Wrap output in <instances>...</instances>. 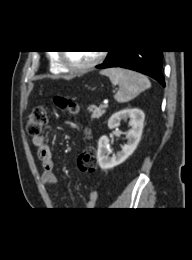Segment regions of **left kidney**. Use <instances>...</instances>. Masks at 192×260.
Wrapping results in <instances>:
<instances>
[{"instance_id": "5707ae66", "label": "left kidney", "mask_w": 192, "mask_h": 260, "mask_svg": "<svg viewBox=\"0 0 192 260\" xmlns=\"http://www.w3.org/2000/svg\"><path fill=\"white\" fill-rule=\"evenodd\" d=\"M130 119L132 129L126 134L127 143L122 146L121 151L112 153L109 145V138L103 135L98 141L97 159L101 169H111L123 163L136 149L142 135L144 112L138 108L124 109L114 113L109 121L108 128L113 129L119 126L122 120Z\"/></svg>"}]
</instances>
